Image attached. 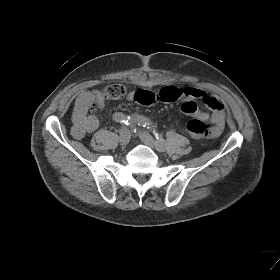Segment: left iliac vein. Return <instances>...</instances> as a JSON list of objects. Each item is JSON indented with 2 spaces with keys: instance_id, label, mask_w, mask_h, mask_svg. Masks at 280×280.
Wrapping results in <instances>:
<instances>
[{
  "instance_id": "obj_1",
  "label": "left iliac vein",
  "mask_w": 280,
  "mask_h": 280,
  "mask_svg": "<svg viewBox=\"0 0 280 280\" xmlns=\"http://www.w3.org/2000/svg\"><path fill=\"white\" fill-rule=\"evenodd\" d=\"M139 137H140L141 141H142L145 145L149 146L150 148H152V149H155V148H156V149H157L158 151H160V152H162V151L165 150V149H160V148H158V147L156 146V143H155L153 137H152L149 133H147V132H145V131H140V132H139Z\"/></svg>"
}]
</instances>
